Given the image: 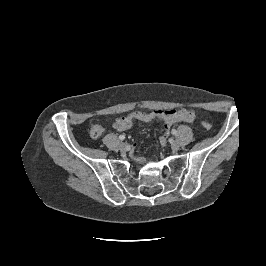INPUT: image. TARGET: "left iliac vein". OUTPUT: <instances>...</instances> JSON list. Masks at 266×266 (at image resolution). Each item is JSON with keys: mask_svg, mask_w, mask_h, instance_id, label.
<instances>
[{"mask_svg": "<svg viewBox=\"0 0 266 266\" xmlns=\"http://www.w3.org/2000/svg\"><path fill=\"white\" fill-rule=\"evenodd\" d=\"M171 147L174 151H177L180 148V144L178 141H173Z\"/></svg>", "mask_w": 266, "mask_h": 266, "instance_id": "obj_1", "label": "left iliac vein"}]
</instances>
